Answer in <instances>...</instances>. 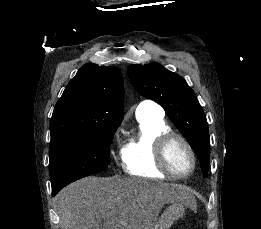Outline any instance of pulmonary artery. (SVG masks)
Listing matches in <instances>:
<instances>
[{"label": "pulmonary artery", "instance_id": "obj_1", "mask_svg": "<svg viewBox=\"0 0 261 229\" xmlns=\"http://www.w3.org/2000/svg\"><path fill=\"white\" fill-rule=\"evenodd\" d=\"M137 110L139 111H153L158 113V115H162L163 114V109L160 105H158L157 103L151 101V100H143L141 101L138 106H137ZM144 116L143 114H136V117H142Z\"/></svg>", "mask_w": 261, "mask_h": 229}]
</instances>
